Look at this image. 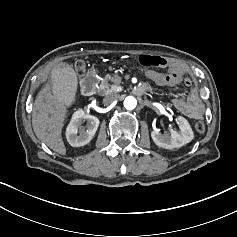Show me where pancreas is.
Returning a JSON list of instances; mask_svg holds the SVG:
<instances>
[{"label": "pancreas", "mask_w": 237, "mask_h": 237, "mask_svg": "<svg viewBox=\"0 0 237 237\" xmlns=\"http://www.w3.org/2000/svg\"><path fill=\"white\" fill-rule=\"evenodd\" d=\"M113 81V77L109 74H107L103 80L101 81V84H100V91L103 93V94H108L110 92H113L112 90V87L113 86H116V84H111L110 82Z\"/></svg>", "instance_id": "pancreas-1"}]
</instances>
